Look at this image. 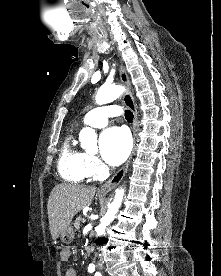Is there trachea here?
I'll return each instance as SVG.
<instances>
[{
	"mask_svg": "<svg viewBox=\"0 0 221 276\" xmlns=\"http://www.w3.org/2000/svg\"><path fill=\"white\" fill-rule=\"evenodd\" d=\"M125 118L128 122H132L133 113L130 110H125Z\"/></svg>",
	"mask_w": 221,
	"mask_h": 276,
	"instance_id": "trachea-1",
	"label": "trachea"
}]
</instances>
